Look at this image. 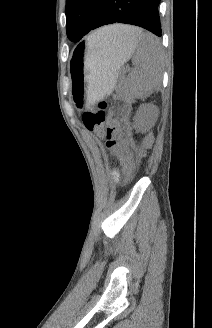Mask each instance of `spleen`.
Segmentation results:
<instances>
[{"instance_id": "spleen-1", "label": "spleen", "mask_w": 212, "mask_h": 328, "mask_svg": "<svg viewBox=\"0 0 212 328\" xmlns=\"http://www.w3.org/2000/svg\"><path fill=\"white\" fill-rule=\"evenodd\" d=\"M137 39L136 54L133 58L135 70L130 74V83L139 95H149L158 89L162 80L163 53L159 40L151 33L142 30L134 35ZM89 45L101 46L99 30L88 37Z\"/></svg>"}]
</instances>
